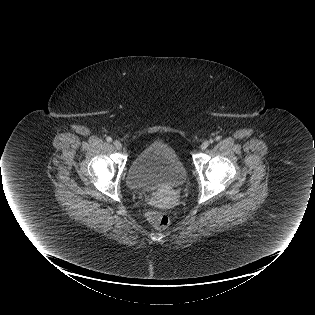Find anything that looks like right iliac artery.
I'll list each match as a JSON object with an SVG mask.
<instances>
[{
	"label": "right iliac artery",
	"mask_w": 315,
	"mask_h": 315,
	"mask_svg": "<svg viewBox=\"0 0 315 315\" xmlns=\"http://www.w3.org/2000/svg\"><path fill=\"white\" fill-rule=\"evenodd\" d=\"M106 140H107V142H112V138L109 136L106 138Z\"/></svg>",
	"instance_id": "82829eb1"
}]
</instances>
